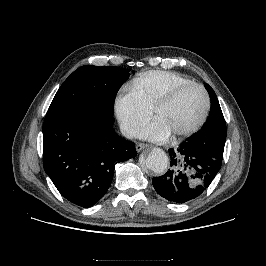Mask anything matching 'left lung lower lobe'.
<instances>
[{
  "mask_svg": "<svg viewBox=\"0 0 266 266\" xmlns=\"http://www.w3.org/2000/svg\"><path fill=\"white\" fill-rule=\"evenodd\" d=\"M170 169L153 177L156 192L169 201L184 203L201 195L219 172L222 160L189 147L186 142L169 149Z\"/></svg>",
  "mask_w": 266,
  "mask_h": 266,
  "instance_id": "obj_1",
  "label": "left lung lower lobe"
}]
</instances>
